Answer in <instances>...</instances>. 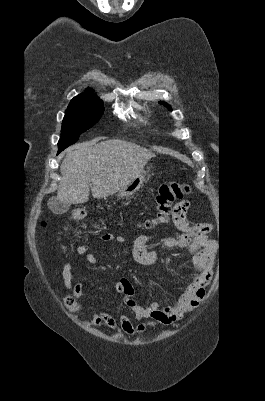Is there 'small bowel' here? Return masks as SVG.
<instances>
[{
  "instance_id": "small-bowel-1",
  "label": "small bowel",
  "mask_w": 265,
  "mask_h": 401,
  "mask_svg": "<svg viewBox=\"0 0 265 401\" xmlns=\"http://www.w3.org/2000/svg\"><path fill=\"white\" fill-rule=\"evenodd\" d=\"M189 207L188 201H181L174 206L172 219L180 234L162 238L158 242L166 250L185 249L192 255L193 272L188 276L184 290L173 304L162 307L157 302H151L146 306H141L134 299L133 286L128 279L123 278L115 285L116 293L121 297V302L132 310L137 320L149 318L152 321L135 325L124 314H120L116 319L105 311H99L90 315L89 320L85 323L87 326L103 327L106 330L120 328L127 335L136 336L155 324H171L197 307L205 295L204 288L211 279L216 248L208 236L212 229L210 223L190 224L187 221ZM100 240L122 245L126 238L121 234H103L100 236ZM150 241V237L141 235L133 242L132 255L140 266L153 265L164 254L159 253L155 246L150 244ZM90 251L91 245L89 244L78 246L73 256L63 266L62 279L64 285L75 298L82 296L83 283L81 281L73 283L74 266L72 260L78 256H85L89 263L97 264V258Z\"/></svg>"
}]
</instances>
